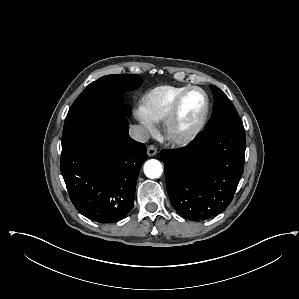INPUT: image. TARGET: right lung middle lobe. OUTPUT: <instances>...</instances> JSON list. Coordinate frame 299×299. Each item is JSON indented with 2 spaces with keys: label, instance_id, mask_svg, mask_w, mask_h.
<instances>
[{
  "label": "right lung middle lobe",
  "instance_id": "dd1d6c3e",
  "mask_svg": "<svg viewBox=\"0 0 299 299\" xmlns=\"http://www.w3.org/2000/svg\"><path fill=\"white\" fill-rule=\"evenodd\" d=\"M142 85L139 75H107L90 84L74 101L66 117L62 149L97 123L111 116H129L130 109L122 104V93Z\"/></svg>",
  "mask_w": 299,
  "mask_h": 299
}]
</instances>
